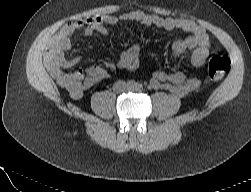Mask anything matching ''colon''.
Wrapping results in <instances>:
<instances>
[{"label":"colon","instance_id":"1","mask_svg":"<svg viewBox=\"0 0 251 192\" xmlns=\"http://www.w3.org/2000/svg\"><path fill=\"white\" fill-rule=\"evenodd\" d=\"M228 66V58L216 54L211 55L208 63L209 76L212 79L221 78L227 70Z\"/></svg>","mask_w":251,"mask_h":192}]
</instances>
